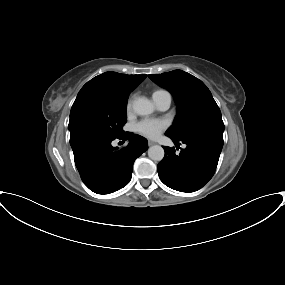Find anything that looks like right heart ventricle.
<instances>
[{
    "instance_id": "1",
    "label": "right heart ventricle",
    "mask_w": 285,
    "mask_h": 285,
    "mask_svg": "<svg viewBox=\"0 0 285 285\" xmlns=\"http://www.w3.org/2000/svg\"><path fill=\"white\" fill-rule=\"evenodd\" d=\"M162 93H166V91L164 90H157L153 93V96H156V95H159V94H162Z\"/></svg>"
}]
</instances>
